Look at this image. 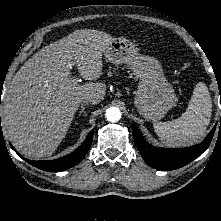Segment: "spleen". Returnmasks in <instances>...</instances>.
I'll list each match as a JSON object with an SVG mask.
<instances>
[{
  "label": "spleen",
  "mask_w": 221,
  "mask_h": 221,
  "mask_svg": "<svg viewBox=\"0 0 221 221\" xmlns=\"http://www.w3.org/2000/svg\"><path fill=\"white\" fill-rule=\"evenodd\" d=\"M212 102L206 85L199 82L186 111L177 119L154 124L157 136L167 145L185 147L200 140L210 122Z\"/></svg>",
  "instance_id": "1"
}]
</instances>
